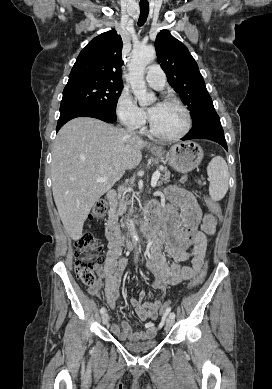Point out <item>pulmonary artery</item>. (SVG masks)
I'll return each mask as SVG.
<instances>
[{
    "instance_id": "1",
    "label": "pulmonary artery",
    "mask_w": 272,
    "mask_h": 389,
    "mask_svg": "<svg viewBox=\"0 0 272 389\" xmlns=\"http://www.w3.org/2000/svg\"><path fill=\"white\" fill-rule=\"evenodd\" d=\"M145 79L151 87L162 89L165 85L166 75L159 65L152 64L147 68Z\"/></svg>"
}]
</instances>
